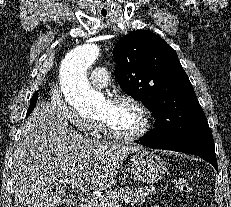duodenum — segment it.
<instances>
[{
	"label": "duodenum",
	"instance_id": "1",
	"mask_svg": "<svg viewBox=\"0 0 231 207\" xmlns=\"http://www.w3.org/2000/svg\"><path fill=\"white\" fill-rule=\"evenodd\" d=\"M79 207H87V203L85 201H81L79 203Z\"/></svg>",
	"mask_w": 231,
	"mask_h": 207
}]
</instances>
